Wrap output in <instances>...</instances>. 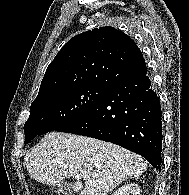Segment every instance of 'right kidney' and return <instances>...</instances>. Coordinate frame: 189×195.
<instances>
[{
  "label": "right kidney",
  "mask_w": 189,
  "mask_h": 195,
  "mask_svg": "<svg viewBox=\"0 0 189 195\" xmlns=\"http://www.w3.org/2000/svg\"><path fill=\"white\" fill-rule=\"evenodd\" d=\"M112 195H141V189L137 184L130 183L118 188Z\"/></svg>",
  "instance_id": "ca27d5eb"
}]
</instances>
